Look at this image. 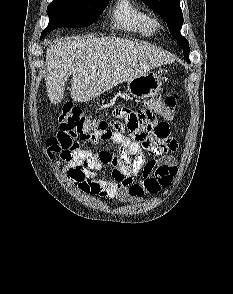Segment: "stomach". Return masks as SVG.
<instances>
[{"instance_id":"stomach-1","label":"stomach","mask_w":233,"mask_h":294,"mask_svg":"<svg viewBox=\"0 0 233 294\" xmlns=\"http://www.w3.org/2000/svg\"><path fill=\"white\" fill-rule=\"evenodd\" d=\"M161 78L155 72L148 71L128 81L127 89L134 98L145 99L161 91Z\"/></svg>"}]
</instances>
